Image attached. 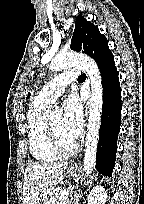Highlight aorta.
Returning a JSON list of instances; mask_svg holds the SVG:
<instances>
[{
    "instance_id": "762f6f07",
    "label": "aorta",
    "mask_w": 144,
    "mask_h": 204,
    "mask_svg": "<svg viewBox=\"0 0 144 204\" xmlns=\"http://www.w3.org/2000/svg\"><path fill=\"white\" fill-rule=\"evenodd\" d=\"M81 68L89 77L91 95L89 101V117L86 136V150L84 156V172L88 176L95 165L97 147L99 142V130L103 109V87L100 70L96 62L88 56L77 53H63L57 55L50 64V68L55 71L70 67ZM50 117L61 114V110L53 107L47 110Z\"/></svg>"
}]
</instances>
